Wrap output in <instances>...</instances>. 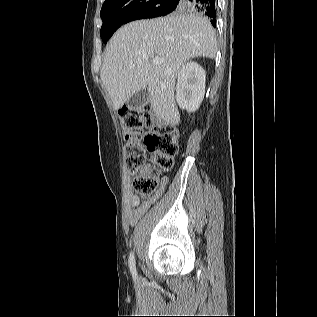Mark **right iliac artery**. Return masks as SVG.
Returning <instances> with one entry per match:
<instances>
[{
  "instance_id": "1",
  "label": "right iliac artery",
  "mask_w": 317,
  "mask_h": 317,
  "mask_svg": "<svg viewBox=\"0 0 317 317\" xmlns=\"http://www.w3.org/2000/svg\"><path fill=\"white\" fill-rule=\"evenodd\" d=\"M129 268H130L133 279L136 281L137 280V271H136L135 258H134L133 252H131L129 255Z\"/></svg>"
}]
</instances>
